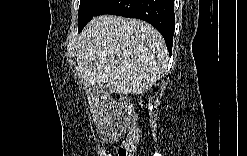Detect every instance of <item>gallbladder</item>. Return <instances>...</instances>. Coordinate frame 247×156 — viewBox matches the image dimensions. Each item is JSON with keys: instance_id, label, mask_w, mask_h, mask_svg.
Listing matches in <instances>:
<instances>
[{"instance_id": "bac80fb5", "label": "gallbladder", "mask_w": 247, "mask_h": 156, "mask_svg": "<svg viewBox=\"0 0 247 156\" xmlns=\"http://www.w3.org/2000/svg\"><path fill=\"white\" fill-rule=\"evenodd\" d=\"M103 85L102 84H94L92 87H91V91L94 92V93H101V89H102ZM105 88V87H104ZM104 93L106 94H111V92L106 89V91H104Z\"/></svg>"}]
</instances>
